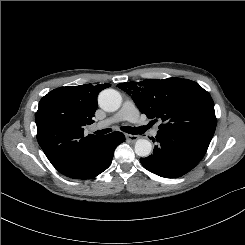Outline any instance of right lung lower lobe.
Instances as JSON below:
<instances>
[{
    "label": "right lung lower lobe",
    "mask_w": 245,
    "mask_h": 245,
    "mask_svg": "<svg viewBox=\"0 0 245 245\" xmlns=\"http://www.w3.org/2000/svg\"><path fill=\"white\" fill-rule=\"evenodd\" d=\"M124 140L125 136L121 132H113L102 136L90 150L82 164L67 172H62V174L74 179L96 177L110 166L115 148Z\"/></svg>",
    "instance_id": "98d812e1"
}]
</instances>
